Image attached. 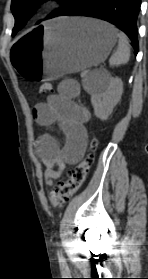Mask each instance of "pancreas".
Listing matches in <instances>:
<instances>
[{
	"label": "pancreas",
	"instance_id": "obj_1",
	"mask_svg": "<svg viewBox=\"0 0 148 279\" xmlns=\"http://www.w3.org/2000/svg\"><path fill=\"white\" fill-rule=\"evenodd\" d=\"M84 75H85V74H84V72H83V73L81 74V76L84 77Z\"/></svg>",
	"mask_w": 148,
	"mask_h": 279
}]
</instances>
